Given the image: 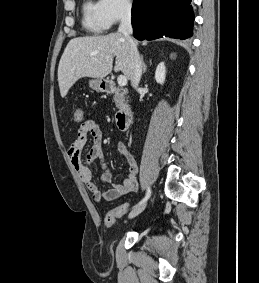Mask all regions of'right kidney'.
<instances>
[{
  "instance_id": "obj_1",
  "label": "right kidney",
  "mask_w": 259,
  "mask_h": 283,
  "mask_svg": "<svg viewBox=\"0 0 259 283\" xmlns=\"http://www.w3.org/2000/svg\"><path fill=\"white\" fill-rule=\"evenodd\" d=\"M165 76H166L165 65L164 62H161L156 68V72H155L156 82L162 85L165 81Z\"/></svg>"
}]
</instances>
